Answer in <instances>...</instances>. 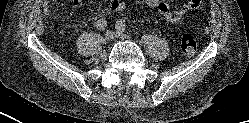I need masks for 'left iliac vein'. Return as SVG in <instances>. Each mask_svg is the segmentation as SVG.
Wrapping results in <instances>:
<instances>
[{
  "instance_id": "obj_1",
  "label": "left iliac vein",
  "mask_w": 249,
  "mask_h": 123,
  "mask_svg": "<svg viewBox=\"0 0 249 123\" xmlns=\"http://www.w3.org/2000/svg\"><path fill=\"white\" fill-rule=\"evenodd\" d=\"M114 35L122 40H129V36L126 35L123 31L116 30L114 32Z\"/></svg>"
}]
</instances>
